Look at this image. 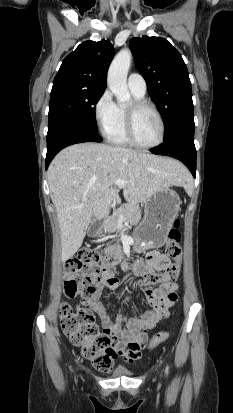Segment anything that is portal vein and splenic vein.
Returning a JSON list of instances; mask_svg holds the SVG:
<instances>
[{
    "label": "portal vein and splenic vein",
    "mask_w": 233,
    "mask_h": 413,
    "mask_svg": "<svg viewBox=\"0 0 233 413\" xmlns=\"http://www.w3.org/2000/svg\"><path fill=\"white\" fill-rule=\"evenodd\" d=\"M125 183L126 182L124 180H116L114 182V185L117 186L118 188H122V187H124Z\"/></svg>",
    "instance_id": "portal-vein-and-splenic-vein-1"
}]
</instances>
